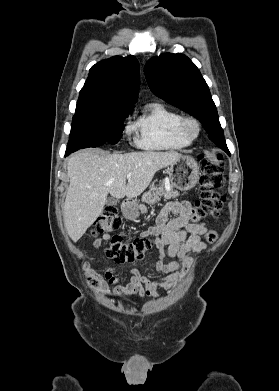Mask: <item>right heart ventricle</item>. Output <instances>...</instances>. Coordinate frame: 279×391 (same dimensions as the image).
I'll list each match as a JSON object with an SVG mask.
<instances>
[{
  "label": "right heart ventricle",
  "instance_id": "right-heart-ventricle-1",
  "mask_svg": "<svg viewBox=\"0 0 279 391\" xmlns=\"http://www.w3.org/2000/svg\"><path fill=\"white\" fill-rule=\"evenodd\" d=\"M181 114L168 106L148 104L133 124L137 145L145 150H181L190 145L177 133Z\"/></svg>",
  "mask_w": 279,
  "mask_h": 391
}]
</instances>
